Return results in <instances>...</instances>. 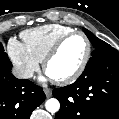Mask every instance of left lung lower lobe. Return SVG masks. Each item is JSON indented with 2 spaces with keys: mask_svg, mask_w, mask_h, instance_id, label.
<instances>
[{
  "mask_svg": "<svg viewBox=\"0 0 119 119\" xmlns=\"http://www.w3.org/2000/svg\"><path fill=\"white\" fill-rule=\"evenodd\" d=\"M61 104L55 119H119V52L112 49L87 63L71 85L56 88Z\"/></svg>",
  "mask_w": 119,
  "mask_h": 119,
  "instance_id": "1",
  "label": "left lung lower lobe"
}]
</instances>
